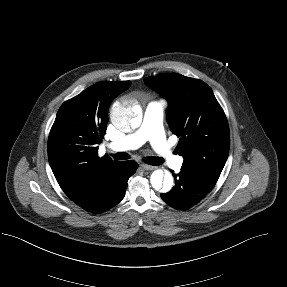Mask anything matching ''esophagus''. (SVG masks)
Returning <instances> with one entry per match:
<instances>
[{
    "mask_svg": "<svg viewBox=\"0 0 287 287\" xmlns=\"http://www.w3.org/2000/svg\"><path fill=\"white\" fill-rule=\"evenodd\" d=\"M141 167L144 169V170H155L156 167L155 166H151V165H147V164H142Z\"/></svg>",
    "mask_w": 287,
    "mask_h": 287,
    "instance_id": "1",
    "label": "esophagus"
}]
</instances>
